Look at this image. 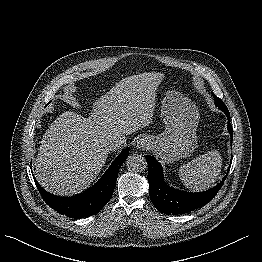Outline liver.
<instances>
[{
	"instance_id": "1",
	"label": "liver",
	"mask_w": 262,
	"mask_h": 262,
	"mask_svg": "<svg viewBox=\"0 0 262 262\" xmlns=\"http://www.w3.org/2000/svg\"><path fill=\"white\" fill-rule=\"evenodd\" d=\"M163 78L157 72L128 76L96 100L90 118L68 111L55 119L34 164L41 186L66 196L87 188L106 162L108 142L150 124Z\"/></svg>"
}]
</instances>
